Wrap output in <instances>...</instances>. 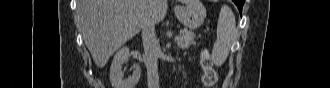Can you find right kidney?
Listing matches in <instances>:
<instances>
[{
    "instance_id": "ca27d5eb",
    "label": "right kidney",
    "mask_w": 330,
    "mask_h": 88,
    "mask_svg": "<svg viewBox=\"0 0 330 88\" xmlns=\"http://www.w3.org/2000/svg\"><path fill=\"white\" fill-rule=\"evenodd\" d=\"M129 56L128 47L120 48L115 54L110 67V82L113 88H134L138 83L141 76L140 69H136L131 77L124 79L122 65L128 61Z\"/></svg>"
}]
</instances>
